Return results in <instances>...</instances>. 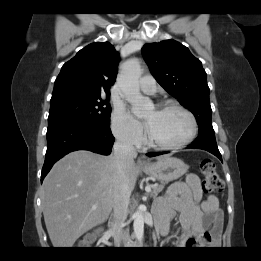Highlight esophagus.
Wrapping results in <instances>:
<instances>
[{
  "label": "esophagus",
  "instance_id": "obj_1",
  "mask_svg": "<svg viewBox=\"0 0 261 261\" xmlns=\"http://www.w3.org/2000/svg\"><path fill=\"white\" fill-rule=\"evenodd\" d=\"M137 164L139 167L143 168V167H147L148 166V162L146 161L145 157L142 156L138 159Z\"/></svg>",
  "mask_w": 261,
  "mask_h": 261
}]
</instances>
